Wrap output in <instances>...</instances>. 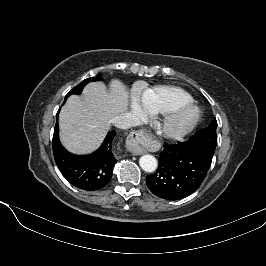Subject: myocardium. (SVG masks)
<instances>
[{"instance_id": "obj_1", "label": "myocardium", "mask_w": 266, "mask_h": 266, "mask_svg": "<svg viewBox=\"0 0 266 266\" xmlns=\"http://www.w3.org/2000/svg\"><path fill=\"white\" fill-rule=\"evenodd\" d=\"M201 108L192 102L181 104L163 114L158 123L159 134L168 140H181L198 125Z\"/></svg>"}]
</instances>
